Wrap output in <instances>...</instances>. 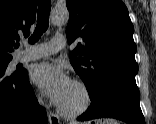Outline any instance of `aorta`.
I'll return each instance as SVG.
<instances>
[{
	"label": "aorta",
	"mask_w": 156,
	"mask_h": 124,
	"mask_svg": "<svg viewBox=\"0 0 156 124\" xmlns=\"http://www.w3.org/2000/svg\"><path fill=\"white\" fill-rule=\"evenodd\" d=\"M51 22L54 25H61L68 22L69 12L67 9L54 8L50 14Z\"/></svg>",
	"instance_id": "1"
}]
</instances>
